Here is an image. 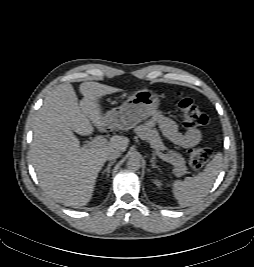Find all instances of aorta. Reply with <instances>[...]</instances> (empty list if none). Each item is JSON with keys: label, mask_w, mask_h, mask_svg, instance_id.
I'll use <instances>...</instances> for the list:
<instances>
[{"label": "aorta", "mask_w": 254, "mask_h": 267, "mask_svg": "<svg viewBox=\"0 0 254 267\" xmlns=\"http://www.w3.org/2000/svg\"><path fill=\"white\" fill-rule=\"evenodd\" d=\"M127 167L133 171L139 170L141 167L140 157L136 154L131 155L127 161Z\"/></svg>", "instance_id": "aorta-1"}]
</instances>
